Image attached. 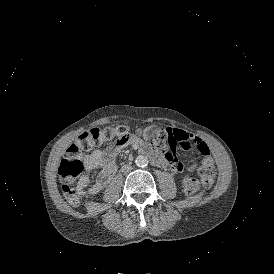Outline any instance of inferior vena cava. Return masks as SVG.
Instances as JSON below:
<instances>
[{"label": "inferior vena cava", "mask_w": 274, "mask_h": 274, "mask_svg": "<svg viewBox=\"0 0 274 274\" xmlns=\"http://www.w3.org/2000/svg\"><path fill=\"white\" fill-rule=\"evenodd\" d=\"M131 170H132V167L130 165H125L126 172L131 171Z\"/></svg>", "instance_id": "inferior-vena-cava-1"}]
</instances>
